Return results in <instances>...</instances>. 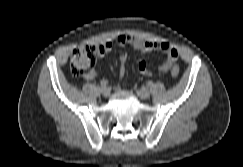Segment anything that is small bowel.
Segmentation results:
<instances>
[{
    "label": "small bowel",
    "instance_id": "small-bowel-1",
    "mask_svg": "<svg viewBox=\"0 0 243 167\" xmlns=\"http://www.w3.org/2000/svg\"><path fill=\"white\" fill-rule=\"evenodd\" d=\"M116 44L130 45L134 49L138 50L141 54H145L154 50H161L166 54L165 60L159 65V70L163 73L168 72L171 66L178 59V50L167 42H154L151 40H143L130 34H122L116 39ZM112 44L108 42L101 43L95 46V52L99 57H103L111 51ZM128 60L127 53L123 52L119 55L120 70L119 75L123 77L125 74V66ZM138 70L144 76H151L152 71L148 68L147 63L144 60L138 62ZM96 73L92 72L88 79H94Z\"/></svg>",
    "mask_w": 243,
    "mask_h": 167
}]
</instances>
